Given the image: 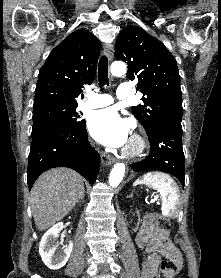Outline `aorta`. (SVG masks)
I'll return each instance as SVG.
<instances>
[{
	"mask_svg": "<svg viewBox=\"0 0 221 278\" xmlns=\"http://www.w3.org/2000/svg\"><path fill=\"white\" fill-rule=\"evenodd\" d=\"M111 73L114 76H122L126 73V65L123 62L116 61L111 65ZM125 173V164L117 163L114 165L110 176H109V185L112 187H117L122 181Z\"/></svg>",
	"mask_w": 221,
	"mask_h": 278,
	"instance_id": "1",
	"label": "aorta"
}]
</instances>
